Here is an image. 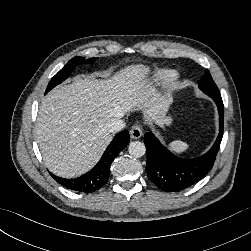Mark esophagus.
Returning <instances> with one entry per match:
<instances>
[{
  "instance_id": "obj_1",
  "label": "esophagus",
  "mask_w": 251,
  "mask_h": 251,
  "mask_svg": "<svg viewBox=\"0 0 251 251\" xmlns=\"http://www.w3.org/2000/svg\"><path fill=\"white\" fill-rule=\"evenodd\" d=\"M130 136L133 139H139L142 136V127L139 124H135L130 129Z\"/></svg>"
}]
</instances>
